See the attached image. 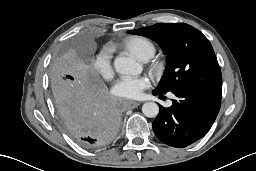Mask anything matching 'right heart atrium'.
Listing matches in <instances>:
<instances>
[{
	"label": "right heart atrium",
	"mask_w": 256,
	"mask_h": 171,
	"mask_svg": "<svg viewBox=\"0 0 256 171\" xmlns=\"http://www.w3.org/2000/svg\"><path fill=\"white\" fill-rule=\"evenodd\" d=\"M111 54L108 50H102L94 59L93 69L104 79L113 77Z\"/></svg>",
	"instance_id": "right-heart-atrium-1"
}]
</instances>
